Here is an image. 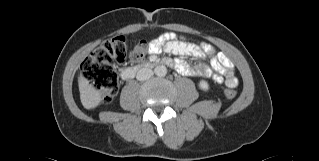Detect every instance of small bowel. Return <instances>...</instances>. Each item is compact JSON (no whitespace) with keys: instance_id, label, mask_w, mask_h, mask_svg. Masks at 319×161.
Instances as JSON below:
<instances>
[{"instance_id":"c3829d8e","label":"small bowel","mask_w":319,"mask_h":161,"mask_svg":"<svg viewBox=\"0 0 319 161\" xmlns=\"http://www.w3.org/2000/svg\"><path fill=\"white\" fill-rule=\"evenodd\" d=\"M148 51L157 55L161 51L176 56H189L197 59H204L210 56L209 64L200 62L190 65L182 59L175 61V68L178 73L186 76L211 77L214 82L222 83L225 75L226 84H238L235 69L231 61L222 53H216L214 47L206 42L199 44L189 43L183 40L181 34L174 31H165L148 45ZM215 71L216 73H213Z\"/></svg>"}]
</instances>
